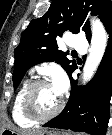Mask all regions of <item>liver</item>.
<instances>
[{
	"label": "liver",
	"mask_w": 112,
	"mask_h": 135,
	"mask_svg": "<svg viewBox=\"0 0 112 135\" xmlns=\"http://www.w3.org/2000/svg\"><path fill=\"white\" fill-rule=\"evenodd\" d=\"M14 132H18L19 135H43L45 133V130H39V131H19L18 129H15L14 127L11 128Z\"/></svg>",
	"instance_id": "obj_1"
}]
</instances>
